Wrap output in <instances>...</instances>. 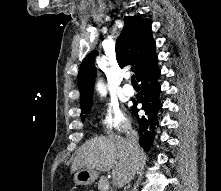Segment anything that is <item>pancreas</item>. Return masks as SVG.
Here are the masks:
<instances>
[{
	"instance_id": "cf45deb5",
	"label": "pancreas",
	"mask_w": 221,
	"mask_h": 191,
	"mask_svg": "<svg viewBox=\"0 0 221 191\" xmlns=\"http://www.w3.org/2000/svg\"><path fill=\"white\" fill-rule=\"evenodd\" d=\"M106 185H108V180L105 176H101L100 180L98 182V190L99 191H108V188L106 189Z\"/></svg>"
}]
</instances>
